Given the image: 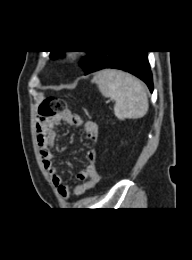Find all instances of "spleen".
Wrapping results in <instances>:
<instances>
[{"label": "spleen", "instance_id": "1", "mask_svg": "<svg viewBox=\"0 0 192 260\" xmlns=\"http://www.w3.org/2000/svg\"><path fill=\"white\" fill-rule=\"evenodd\" d=\"M92 83L104 97L115 100L114 114L118 119H139L146 115L149 107L146 88L136 77L108 69L97 73Z\"/></svg>", "mask_w": 192, "mask_h": 260}]
</instances>
